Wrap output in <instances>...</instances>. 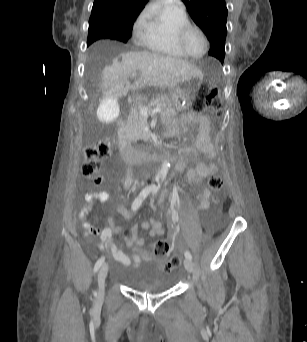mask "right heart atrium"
Listing matches in <instances>:
<instances>
[{"label":"right heart atrium","instance_id":"1","mask_svg":"<svg viewBox=\"0 0 307 342\" xmlns=\"http://www.w3.org/2000/svg\"><path fill=\"white\" fill-rule=\"evenodd\" d=\"M130 38L131 40H138L148 37L152 33L147 28L144 18L142 16L137 17L130 26Z\"/></svg>","mask_w":307,"mask_h":342}]
</instances>
